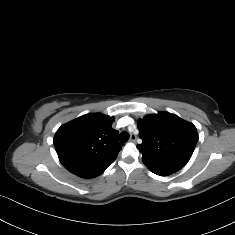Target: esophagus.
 Masks as SVG:
<instances>
[{
	"label": "esophagus",
	"mask_w": 235,
	"mask_h": 235,
	"mask_svg": "<svg viewBox=\"0 0 235 235\" xmlns=\"http://www.w3.org/2000/svg\"><path fill=\"white\" fill-rule=\"evenodd\" d=\"M137 139L136 135L135 134H131L130 135V142H135Z\"/></svg>",
	"instance_id": "obj_1"
}]
</instances>
